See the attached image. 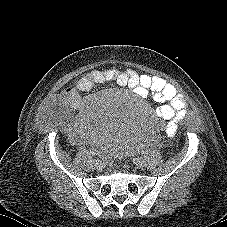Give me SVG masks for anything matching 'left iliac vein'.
I'll return each mask as SVG.
<instances>
[{"instance_id":"1","label":"left iliac vein","mask_w":227,"mask_h":227,"mask_svg":"<svg viewBox=\"0 0 227 227\" xmlns=\"http://www.w3.org/2000/svg\"><path fill=\"white\" fill-rule=\"evenodd\" d=\"M135 164H136L137 168L141 169V168H143L145 166V161H144L143 158L138 157L135 160Z\"/></svg>"}]
</instances>
